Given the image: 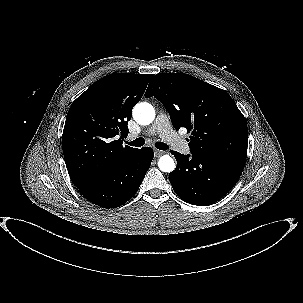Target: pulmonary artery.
Returning a JSON list of instances; mask_svg holds the SVG:
<instances>
[{
  "label": "pulmonary artery",
  "mask_w": 303,
  "mask_h": 303,
  "mask_svg": "<svg viewBox=\"0 0 303 303\" xmlns=\"http://www.w3.org/2000/svg\"><path fill=\"white\" fill-rule=\"evenodd\" d=\"M148 135L159 134L172 148L182 154L190 153L189 146L182 138L172 129L169 119L165 114H159L154 124L148 130ZM135 135H129L128 139L133 140Z\"/></svg>",
  "instance_id": "pulmonary-artery-1"
}]
</instances>
